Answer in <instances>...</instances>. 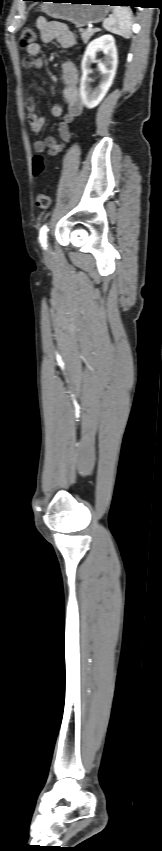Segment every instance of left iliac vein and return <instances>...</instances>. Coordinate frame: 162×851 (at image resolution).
Wrapping results in <instances>:
<instances>
[{
  "mask_svg": "<svg viewBox=\"0 0 162 851\" xmlns=\"http://www.w3.org/2000/svg\"><path fill=\"white\" fill-rule=\"evenodd\" d=\"M49 253H50V249H49V246L47 245V246H46V248H45V250H44V255H45V257H48V256H49Z\"/></svg>",
  "mask_w": 162,
  "mask_h": 851,
  "instance_id": "1",
  "label": "left iliac vein"
}]
</instances>
